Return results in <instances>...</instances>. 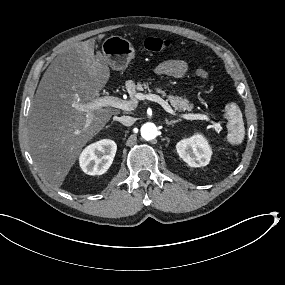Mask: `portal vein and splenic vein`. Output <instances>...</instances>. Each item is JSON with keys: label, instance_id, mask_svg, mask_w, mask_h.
Here are the masks:
<instances>
[{"label": "portal vein and splenic vein", "instance_id": "portal-vein-and-splenic-vein-1", "mask_svg": "<svg viewBox=\"0 0 285 285\" xmlns=\"http://www.w3.org/2000/svg\"><path fill=\"white\" fill-rule=\"evenodd\" d=\"M135 97L138 100L155 101V102L161 104L167 113H169L173 116H177V117L182 118V119H186V120L204 119L206 121H210L209 117L206 115L178 113L166 101H164L162 98H160V96L155 95V94L137 93L135 95ZM135 105H136L135 101H132V100L126 101V100H122L118 97L109 96V95L97 98V99L92 100L91 102H89L87 104L81 105L79 107V110L87 112V115H86V122H85L83 128L80 130V133L86 132L87 129L89 128L91 121L93 119V110H96L98 108H103L106 106H112V107L119 108V109H122L125 111H130L134 108Z\"/></svg>", "mask_w": 285, "mask_h": 285}]
</instances>
